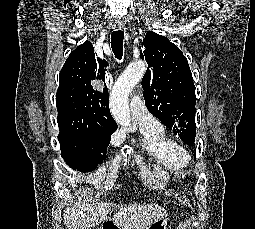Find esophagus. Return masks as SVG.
I'll return each instance as SVG.
<instances>
[{
  "label": "esophagus",
  "mask_w": 255,
  "mask_h": 229,
  "mask_svg": "<svg viewBox=\"0 0 255 229\" xmlns=\"http://www.w3.org/2000/svg\"><path fill=\"white\" fill-rule=\"evenodd\" d=\"M115 29L117 30H123L124 29V24L122 22H117L115 24Z\"/></svg>",
  "instance_id": "34e87169"
}]
</instances>
